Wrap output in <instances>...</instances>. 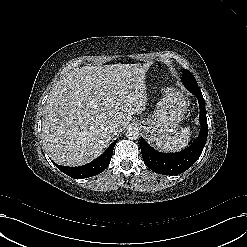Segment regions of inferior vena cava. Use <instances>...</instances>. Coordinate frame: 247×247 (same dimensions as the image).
I'll use <instances>...</instances> for the list:
<instances>
[{"label":"inferior vena cava","instance_id":"1","mask_svg":"<svg viewBox=\"0 0 247 247\" xmlns=\"http://www.w3.org/2000/svg\"><path fill=\"white\" fill-rule=\"evenodd\" d=\"M107 131L112 135H116L119 132V125L117 123H112L107 126Z\"/></svg>","mask_w":247,"mask_h":247}]
</instances>
